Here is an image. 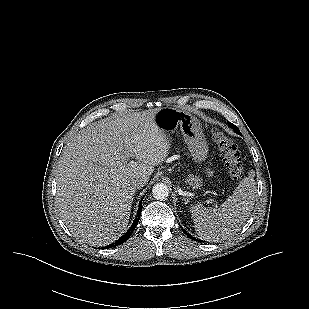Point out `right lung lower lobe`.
Listing matches in <instances>:
<instances>
[{
    "instance_id": "1",
    "label": "right lung lower lobe",
    "mask_w": 309,
    "mask_h": 309,
    "mask_svg": "<svg viewBox=\"0 0 309 309\" xmlns=\"http://www.w3.org/2000/svg\"><path fill=\"white\" fill-rule=\"evenodd\" d=\"M142 199H141V201H142ZM141 201H140L139 206H138L137 216H136L134 222L132 223L131 227L129 228V230L123 236H121L118 240H116L114 243L108 245L107 248L120 245L130 238V236L133 233V231H134V229H135V227H136V225H137V223L140 219V216H141V214H140L141 210H142Z\"/></svg>"
}]
</instances>
